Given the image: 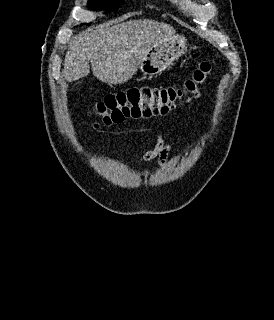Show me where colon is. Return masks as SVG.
<instances>
[{"label":"colon","instance_id":"obj_1","mask_svg":"<svg viewBox=\"0 0 274 320\" xmlns=\"http://www.w3.org/2000/svg\"><path fill=\"white\" fill-rule=\"evenodd\" d=\"M213 72L211 61H203L182 85L133 87L106 95L92 109L96 126L120 123L127 119L166 115L201 96Z\"/></svg>","mask_w":274,"mask_h":320}]
</instances>
